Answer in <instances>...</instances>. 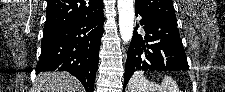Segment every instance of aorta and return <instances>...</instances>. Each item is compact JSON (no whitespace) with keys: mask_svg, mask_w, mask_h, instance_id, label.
Wrapping results in <instances>:
<instances>
[{"mask_svg":"<svg viewBox=\"0 0 225 92\" xmlns=\"http://www.w3.org/2000/svg\"><path fill=\"white\" fill-rule=\"evenodd\" d=\"M119 28L122 40L127 43L133 36L134 3L133 0H118Z\"/></svg>","mask_w":225,"mask_h":92,"instance_id":"1","label":"aorta"}]
</instances>
